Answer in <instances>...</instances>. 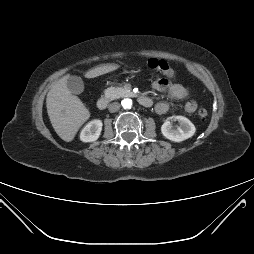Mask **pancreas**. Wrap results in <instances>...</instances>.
I'll use <instances>...</instances> for the list:
<instances>
[{
	"label": "pancreas",
	"instance_id": "pancreas-1",
	"mask_svg": "<svg viewBox=\"0 0 254 254\" xmlns=\"http://www.w3.org/2000/svg\"><path fill=\"white\" fill-rule=\"evenodd\" d=\"M129 94L128 90L121 87H110L105 89L104 96L109 100L118 99L122 96Z\"/></svg>",
	"mask_w": 254,
	"mask_h": 254
}]
</instances>
